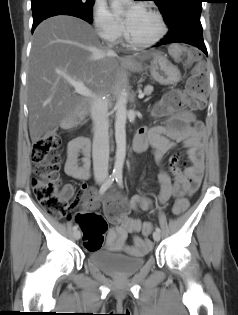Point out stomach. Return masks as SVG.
I'll return each mask as SVG.
<instances>
[{"mask_svg": "<svg viewBox=\"0 0 238 315\" xmlns=\"http://www.w3.org/2000/svg\"><path fill=\"white\" fill-rule=\"evenodd\" d=\"M147 69L150 71L152 78L160 84L169 85L177 83L180 80V71L178 68L161 53L152 57L150 64L145 66V71Z\"/></svg>", "mask_w": 238, "mask_h": 315, "instance_id": "1", "label": "stomach"}]
</instances>
